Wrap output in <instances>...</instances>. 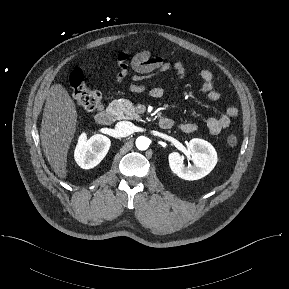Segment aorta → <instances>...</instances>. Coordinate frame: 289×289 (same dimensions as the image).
<instances>
[{"instance_id":"obj_1","label":"aorta","mask_w":289,"mask_h":289,"mask_svg":"<svg viewBox=\"0 0 289 289\" xmlns=\"http://www.w3.org/2000/svg\"><path fill=\"white\" fill-rule=\"evenodd\" d=\"M149 139L145 136H140L136 139V147L139 150H146L149 147Z\"/></svg>"}]
</instances>
